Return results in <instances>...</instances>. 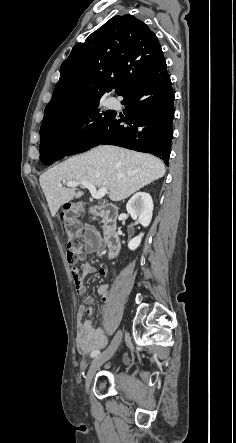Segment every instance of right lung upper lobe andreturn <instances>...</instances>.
I'll return each instance as SVG.
<instances>
[{"instance_id":"1","label":"right lung upper lobe","mask_w":236,"mask_h":443,"mask_svg":"<svg viewBox=\"0 0 236 443\" xmlns=\"http://www.w3.org/2000/svg\"><path fill=\"white\" fill-rule=\"evenodd\" d=\"M163 57L156 35L132 15L115 16L76 44L60 67V79L44 119L114 90L120 95Z\"/></svg>"}]
</instances>
